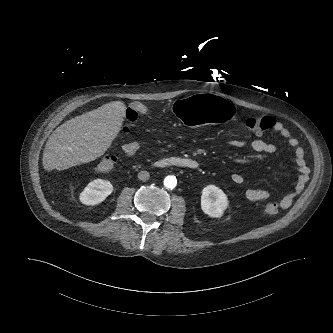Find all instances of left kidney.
<instances>
[{"instance_id": "5707ae66", "label": "left kidney", "mask_w": 333, "mask_h": 333, "mask_svg": "<svg viewBox=\"0 0 333 333\" xmlns=\"http://www.w3.org/2000/svg\"><path fill=\"white\" fill-rule=\"evenodd\" d=\"M226 194L215 185L204 187L201 195V209L212 218H220L227 209Z\"/></svg>"}]
</instances>
